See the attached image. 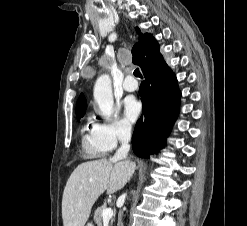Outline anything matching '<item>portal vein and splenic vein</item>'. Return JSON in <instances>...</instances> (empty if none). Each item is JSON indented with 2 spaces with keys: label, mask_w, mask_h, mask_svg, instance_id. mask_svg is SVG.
Listing matches in <instances>:
<instances>
[{
  "label": "portal vein and splenic vein",
  "mask_w": 247,
  "mask_h": 226,
  "mask_svg": "<svg viewBox=\"0 0 247 226\" xmlns=\"http://www.w3.org/2000/svg\"><path fill=\"white\" fill-rule=\"evenodd\" d=\"M112 216H113V210L111 208H105L102 211L103 220H109L112 218Z\"/></svg>",
  "instance_id": "18ae733b"
}]
</instances>
